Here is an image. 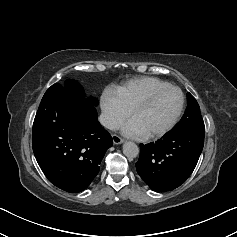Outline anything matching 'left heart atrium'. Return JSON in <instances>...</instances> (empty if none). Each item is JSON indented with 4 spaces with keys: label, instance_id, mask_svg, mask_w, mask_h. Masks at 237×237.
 I'll return each mask as SVG.
<instances>
[{
    "label": "left heart atrium",
    "instance_id": "1",
    "mask_svg": "<svg viewBox=\"0 0 237 237\" xmlns=\"http://www.w3.org/2000/svg\"><path fill=\"white\" fill-rule=\"evenodd\" d=\"M123 133L129 137L143 136V132L132 119L124 125Z\"/></svg>",
    "mask_w": 237,
    "mask_h": 237
}]
</instances>
